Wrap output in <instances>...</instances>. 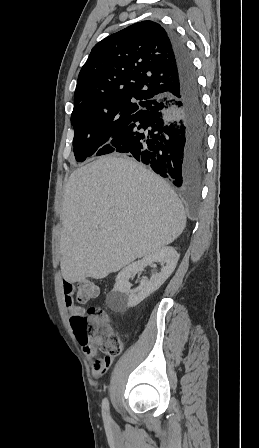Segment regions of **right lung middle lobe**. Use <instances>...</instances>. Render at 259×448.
<instances>
[{
	"instance_id": "obj_1",
	"label": "right lung middle lobe",
	"mask_w": 259,
	"mask_h": 448,
	"mask_svg": "<svg viewBox=\"0 0 259 448\" xmlns=\"http://www.w3.org/2000/svg\"><path fill=\"white\" fill-rule=\"evenodd\" d=\"M144 106L133 105L99 113H78L71 116L75 135L74 155L83 162L92 155H104L111 151V141L143 112Z\"/></svg>"
}]
</instances>
